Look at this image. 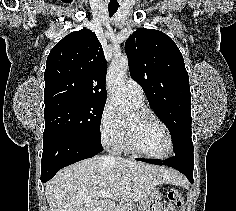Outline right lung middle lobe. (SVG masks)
<instances>
[{
    "mask_svg": "<svg viewBox=\"0 0 236 211\" xmlns=\"http://www.w3.org/2000/svg\"><path fill=\"white\" fill-rule=\"evenodd\" d=\"M105 101L65 99L45 105L44 136L75 134L101 142L100 123Z\"/></svg>",
    "mask_w": 236,
    "mask_h": 211,
    "instance_id": "1",
    "label": "right lung middle lobe"
}]
</instances>
